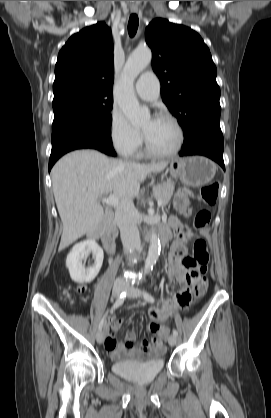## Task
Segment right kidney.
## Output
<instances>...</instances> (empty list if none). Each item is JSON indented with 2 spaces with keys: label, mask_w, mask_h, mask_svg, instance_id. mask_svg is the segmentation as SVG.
<instances>
[{
  "label": "right kidney",
  "mask_w": 271,
  "mask_h": 418,
  "mask_svg": "<svg viewBox=\"0 0 271 418\" xmlns=\"http://www.w3.org/2000/svg\"><path fill=\"white\" fill-rule=\"evenodd\" d=\"M92 253L95 260L92 266L85 268L82 261ZM104 253L94 240H85L73 246L67 255L66 266L69 270L70 277L77 283L92 282L98 275L102 263Z\"/></svg>",
  "instance_id": "right-kidney-1"
}]
</instances>
